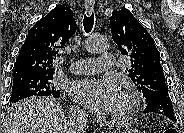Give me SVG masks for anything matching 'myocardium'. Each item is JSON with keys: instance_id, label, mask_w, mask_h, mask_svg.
Returning <instances> with one entry per match:
<instances>
[{"instance_id": "f54148a6", "label": "myocardium", "mask_w": 184, "mask_h": 133, "mask_svg": "<svg viewBox=\"0 0 184 133\" xmlns=\"http://www.w3.org/2000/svg\"><path fill=\"white\" fill-rule=\"evenodd\" d=\"M120 95L123 99V108L120 111L113 113L112 118L118 122H125L137 112L139 100L137 93L131 86L122 89Z\"/></svg>"}]
</instances>
